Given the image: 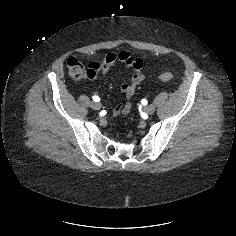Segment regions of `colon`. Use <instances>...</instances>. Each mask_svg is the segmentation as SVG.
<instances>
[{
    "mask_svg": "<svg viewBox=\"0 0 236 236\" xmlns=\"http://www.w3.org/2000/svg\"><path fill=\"white\" fill-rule=\"evenodd\" d=\"M66 67L69 75L74 79H81L89 77L91 72L88 67L84 66L78 59L75 57H69L66 61ZM173 78L171 72H164L159 75L158 79L162 82H168Z\"/></svg>",
    "mask_w": 236,
    "mask_h": 236,
    "instance_id": "colon-1",
    "label": "colon"
}]
</instances>
